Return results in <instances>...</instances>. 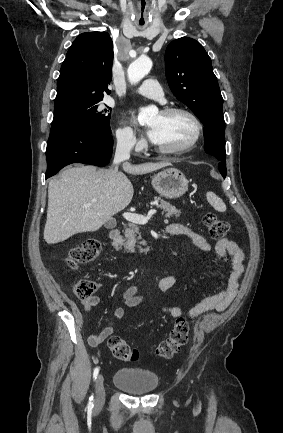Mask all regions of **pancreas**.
<instances>
[{
	"mask_svg": "<svg viewBox=\"0 0 283 433\" xmlns=\"http://www.w3.org/2000/svg\"><path fill=\"white\" fill-rule=\"evenodd\" d=\"M154 200H157L158 204H154L156 208H163V212H166L165 217H180L181 210H178L176 206H173V204H170L168 200H163L161 196H154ZM152 200V202H154ZM137 233H139L138 227H134V225H128L127 229H125V237L127 239V243L125 245L127 251L129 253H136L135 251V243L137 239H141V237H137ZM140 253H148L149 249H141L139 247Z\"/></svg>",
	"mask_w": 283,
	"mask_h": 433,
	"instance_id": "1",
	"label": "pancreas"
}]
</instances>
